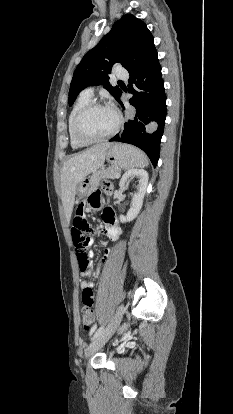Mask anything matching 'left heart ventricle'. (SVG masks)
<instances>
[{
	"instance_id": "1",
	"label": "left heart ventricle",
	"mask_w": 233,
	"mask_h": 414,
	"mask_svg": "<svg viewBox=\"0 0 233 414\" xmlns=\"http://www.w3.org/2000/svg\"><path fill=\"white\" fill-rule=\"evenodd\" d=\"M116 124V115L110 108H95L81 120L80 131L89 137H100L109 133Z\"/></svg>"
}]
</instances>
